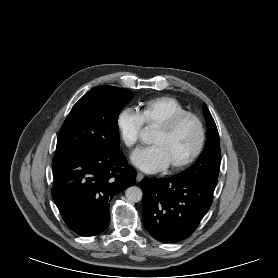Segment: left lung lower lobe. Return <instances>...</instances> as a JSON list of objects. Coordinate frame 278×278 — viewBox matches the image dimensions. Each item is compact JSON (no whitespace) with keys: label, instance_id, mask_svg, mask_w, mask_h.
I'll return each instance as SVG.
<instances>
[{"label":"left lung lower lobe","instance_id":"left-lung-lower-lobe-1","mask_svg":"<svg viewBox=\"0 0 278 278\" xmlns=\"http://www.w3.org/2000/svg\"><path fill=\"white\" fill-rule=\"evenodd\" d=\"M142 218L158 241L174 243L189 237L210 208L216 183L176 177L143 179Z\"/></svg>","mask_w":278,"mask_h":278}]
</instances>
